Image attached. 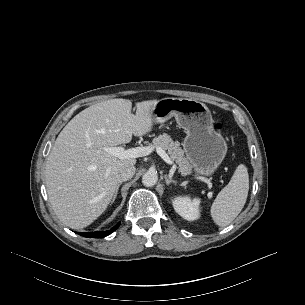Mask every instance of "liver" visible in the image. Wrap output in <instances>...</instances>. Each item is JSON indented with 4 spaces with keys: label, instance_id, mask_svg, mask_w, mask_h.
I'll return each mask as SVG.
<instances>
[{
    "label": "liver",
    "instance_id": "1",
    "mask_svg": "<svg viewBox=\"0 0 305 305\" xmlns=\"http://www.w3.org/2000/svg\"><path fill=\"white\" fill-rule=\"evenodd\" d=\"M158 100L136 103L110 99L94 104L70 120L47 158V194L58 218L72 229L87 227L110 204L120 168L135 158L120 159L108 147L129 143L152 130L151 112Z\"/></svg>",
    "mask_w": 305,
    "mask_h": 305
}]
</instances>
